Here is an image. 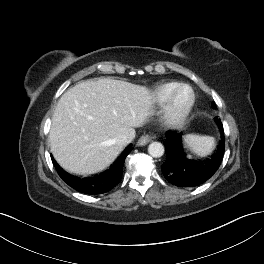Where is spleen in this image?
I'll return each mask as SVG.
<instances>
[{
  "instance_id": "spleen-1",
  "label": "spleen",
  "mask_w": 264,
  "mask_h": 264,
  "mask_svg": "<svg viewBox=\"0 0 264 264\" xmlns=\"http://www.w3.org/2000/svg\"><path fill=\"white\" fill-rule=\"evenodd\" d=\"M184 141L190 150L198 156L210 154L215 147V138L211 136L187 134L184 137Z\"/></svg>"
}]
</instances>
